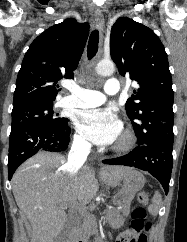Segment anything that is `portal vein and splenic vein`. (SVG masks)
<instances>
[{
	"instance_id": "portal-vein-and-splenic-vein-1",
	"label": "portal vein and splenic vein",
	"mask_w": 187,
	"mask_h": 242,
	"mask_svg": "<svg viewBox=\"0 0 187 242\" xmlns=\"http://www.w3.org/2000/svg\"><path fill=\"white\" fill-rule=\"evenodd\" d=\"M63 208H65L66 206L65 205H62ZM74 208L78 211H81L80 208L78 206H74ZM106 212V210L103 211V214Z\"/></svg>"
}]
</instances>
